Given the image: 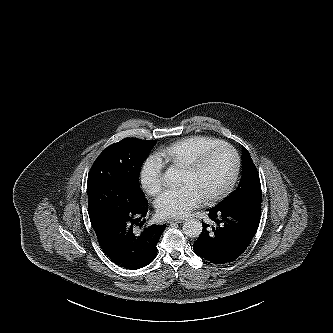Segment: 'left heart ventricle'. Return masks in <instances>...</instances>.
<instances>
[{
	"mask_svg": "<svg viewBox=\"0 0 333 333\" xmlns=\"http://www.w3.org/2000/svg\"><path fill=\"white\" fill-rule=\"evenodd\" d=\"M234 168L235 156L233 152L228 148H221L212 153L197 172L181 171L179 183L191 185L205 199L227 184Z\"/></svg>",
	"mask_w": 333,
	"mask_h": 333,
	"instance_id": "b2bd125f",
	"label": "left heart ventricle"
}]
</instances>
